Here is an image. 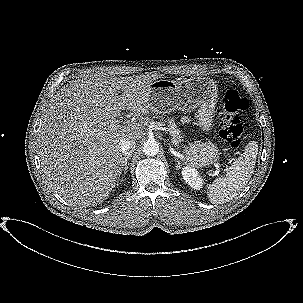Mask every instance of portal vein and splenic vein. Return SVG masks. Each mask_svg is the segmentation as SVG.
<instances>
[{
	"mask_svg": "<svg viewBox=\"0 0 303 303\" xmlns=\"http://www.w3.org/2000/svg\"><path fill=\"white\" fill-rule=\"evenodd\" d=\"M118 126L119 125L116 124L115 122H111L110 125H109V128H110V130H112V129H116Z\"/></svg>",
	"mask_w": 303,
	"mask_h": 303,
	"instance_id": "1",
	"label": "portal vein and splenic vein"
}]
</instances>
